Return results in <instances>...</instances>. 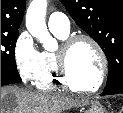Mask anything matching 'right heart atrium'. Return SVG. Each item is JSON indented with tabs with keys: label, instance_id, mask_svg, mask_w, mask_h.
Returning <instances> with one entry per match:
<instances>
[{
	"label": "right heart atrium",
	"instance_id": "1",
	"mask_svg": "<svg viewBox=\"0 0 123 113\" xmlns=\"http://www.w3.org/2000/svg\"><path fill=\"white\" fill-rule=\"evenodd\" d=\"M41 53L37 49L32 37L26 31L21 32L13 46V59L16 72L25 85L36 83L40 70Z\"/></svg>",
	"mask_w": 123,
	"mask_h": 113
}]
</instances>
